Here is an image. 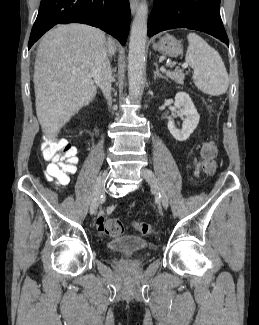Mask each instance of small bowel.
I'll return each instance as SVG.
<instances>
[{"mask_svg": "<svg viewBox=\"0 0 259 325\" xmlns=\"http://www.w3.org/2000/svg\"><path fill=\"white\" fill-rule=\"evenodd\" d=\"M194 165H195V174H198V171H199V168H200V163L195 161L194 162ZM105 214L103 211H101L97 217V220H96V224H97V228L99 231L103 232L105 231L104 230V227H105Z\"/></svg>", "mask_w": 259, "mask_h": 325, "instance_id": "obj_1", "label": "small bowel"}]
</instances>
